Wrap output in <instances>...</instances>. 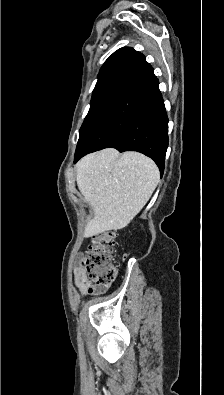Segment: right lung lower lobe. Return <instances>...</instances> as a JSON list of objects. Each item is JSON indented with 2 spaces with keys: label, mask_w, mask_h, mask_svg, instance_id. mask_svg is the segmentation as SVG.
I'll return each mask as SVG.
<instances>
[{
  "label": "right lung lower lobe",
  "mask_w": 224,
  "mask_h": 395,
  "mask_svg": "<svg viewBox=\"0 0 224 395\" xmlns=\"http://www.w3.org/2000/svg\"><path fill=\"white\" fill-rule=\"evenodd\" d=\"M159 82L145 57L137 52L119 70L110 90L80 133L74 162L108 147L137 151L164 171L168 118Z\"/></svg>",
  "instance_id": "obj_1"
}]
</instances>
